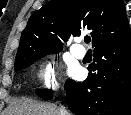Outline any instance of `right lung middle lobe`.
Listing matches in <instances>:
<instances>
[{
  "label": "right lung middle lobe",
  "instance_id": "dd1d6c3e",
  "mask_svg": "<svg viewBox=\"0 0 131 115\" xmlns=\"http://www.w3.org/2000/svg\"><path fill=\"white\" fill-rule=\"evenodd\" d=\"M50 53H58V52H50V51H31L19 57L15 60V70H22L33 64L36 60L46 56ZM36 94L43 99L52 98V90H38Z\"/></svg>",
  "mask_w": 131,
  "mask_h": 115
}]
</instances>
